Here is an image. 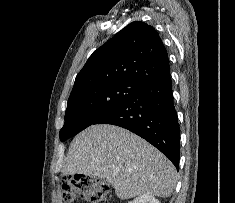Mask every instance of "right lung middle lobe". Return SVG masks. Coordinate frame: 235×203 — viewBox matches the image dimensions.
I'll return each instance as SVG.
<instances>
[{"mask_svg":"<svg viewBox=\"0 0 235 203\" xmlns=\"http://www.w3.org/2000/svg\"><path fill=\"white\" fill-rule=\"evenodd\" d=\"M143 84L114 80L89 85L71 92L65 112V123L60 131V140L65 141L94 124L120 105Z\"/></svg>","mask_w":235,"mask_h":203,"instance_id":"obj_1","label":"right lung middle lobe"}]
</instances>
